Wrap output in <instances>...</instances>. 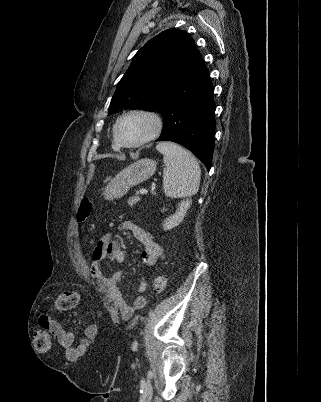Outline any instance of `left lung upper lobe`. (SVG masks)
Listing matches in <instances>:
<instances>
[{
    "instance_id": "obj_1",
    "label": "left lung upper lobe",
    "mask_w": 321,
    "mask_h": 402,
    "mask_svg": "<svg viewBox=\"0 0 321 402\" xmlns=\"http://www.w3.org/2000/svg\"><path fill=\"white\" fill-rule=\"evenodd\" d=\"M200 60L194 40L186 32H161L134 56L117 85L108 113L127 108L161 113L168 94Z\"/></svg>"
}]
</instances>
